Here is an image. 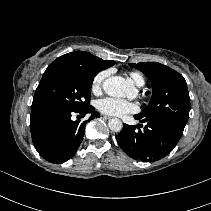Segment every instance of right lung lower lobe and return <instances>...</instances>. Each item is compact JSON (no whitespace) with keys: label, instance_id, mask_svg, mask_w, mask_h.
Returning a JSON list of instances; mask_svg holds the SVG:
<instances>
[{"label":"right lung lower lobe","instance_id":"1","mask_svg":"<svg viewBox=\"0 0 211 211\" xmlns=\"http://www.w3.org/2000/svg\"><path fill=\"white\" fill-rule=\"evenodd\" d=\"M74 113L90 114L100 117L91 105L81 111L45 110L32 111L30 130L33 144L37 152L45 160L61 164L69 160L76 153L81 144L87 121H73Z\"/></svg>","mask_w":211,"mask_h":211}]
</instances>
